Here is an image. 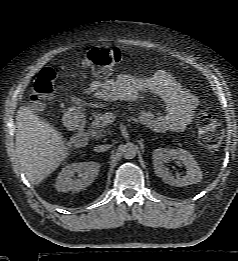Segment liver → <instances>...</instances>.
Segmentation results:
<instances>
[{
	"mask_svg": "<svg viewBox=\"0 0 238 261\" xmlns=\"http://www.w3.org/2000/svg\"><path fill=\"white\" fill-rule=\"evenodd\" d=\"M16 152L27 179L40 184L69 155L62 135L25 105L16 116Z\"/></svg>",
	"mask_w": 238,
	"mask_h": 261,
	"instance_id": "liver-1",
	"label": "liver"
}]
</instances>
